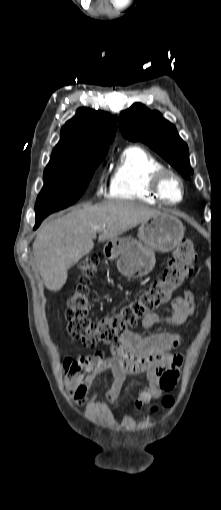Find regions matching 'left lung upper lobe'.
Wrapping results in <instances>:
<instances>
[{
	"mask_svg": "<svg viewBox=\"0 0 221 510\" xmlns=\"http://www.w3.org/2000/svg\"><path fill=\"white\" fill-rule=\"evenodd\" d=\"M123 136L131 141H142L189 178L190 167L187 144L179 137L174 125L157 111H150L141 103L133 104L119 117Z\"/></svg>",
	"mask_w": 221,
	"mask_h": 510,
	"instance_id": "left-lung-upper-lobe-1",
	"label": "left lung upper lobe"
}]
</instances>
